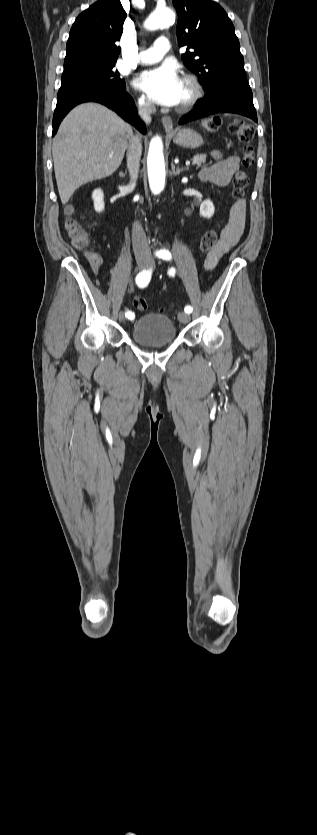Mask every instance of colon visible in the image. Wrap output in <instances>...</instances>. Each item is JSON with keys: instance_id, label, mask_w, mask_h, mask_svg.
Masks as SVG:
<instances>
[{"instance_id": "obj_1", "label": "colon", "mask_w": 317, "mask_h": 835, "mask_svg": "<svg viewBox=\"0 0 317 835\" xmlns=\"http://www.w3.org/2000/svg\"><path fill=\"white\" fill-rule=\"evenodd\" d=\"M221 125L219 117H209L202 121L201 126L207 133H216ZM232 134L243 144L242 163L245 167L251 166L255 161L254 148L251 142L254 137L253 128L244 121L238 120L230 126ZM249 179L244 171H239L235 174L232 180V194L236 203L242 205L245 196V189L247 188ZM73 207L66 208V230L70 237L72 244L77 249H86L90 244V238L87 230L83 225L74 218ZM217 232L211 229L203 234L198 244V251L200 253L210 252L217 243ZM134 306L139 310H145L148 303L145 298L137 296L133 300Z\"/></svg>"}]
</instances>
